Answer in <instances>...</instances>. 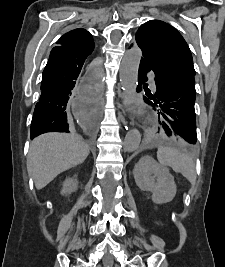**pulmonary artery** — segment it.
<instances>
[{"label": "pulmonary artery", "instance_id": "obj_1", "mask_svg": "<svg viewBox=\"0 0 225 267\" xmlns=\"http://www.w3.org/2000/svg\"><path fill=\"white\" fill-rule=\"evenodd\" d=\"M149 79H150V83H151V88L153 90H156V86H155V82H154V73L153 72H149Z\"/></svg>", "mask_w": 225, "mask_h": 267}]
</instances>
